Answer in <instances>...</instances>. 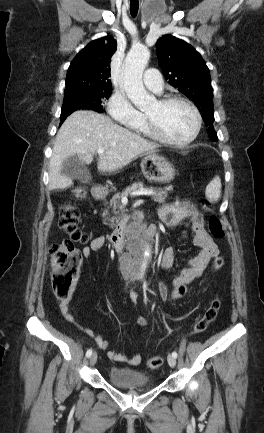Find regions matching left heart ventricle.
<instances>
[{"instance_id":"obj_1","label":"left heart ventricle","mask_w":264,"mask_h":433,"mask_svg":"<svg viewBox=\"0 0 264 433\" xmlns=\"http://www.w3.org/2000/svg\"><path fill=\"white\" fill-rule=\"evenodd\" d=\"M145 113L154 119L166 136L173 140L186 139L195 128V117L192 111L180 103L160 106L156 101L145 110Z\"/></svg>"}]
</instances>
